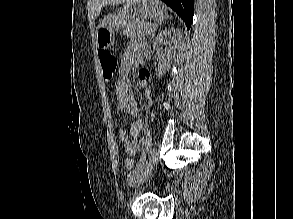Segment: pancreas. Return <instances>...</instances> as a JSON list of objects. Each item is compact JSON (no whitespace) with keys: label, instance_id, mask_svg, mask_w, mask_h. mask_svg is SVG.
Instances as JSON below:
<instances>
[{"label":"pancreas","instance_id":"obj_1","mask_svg":"<svg viewBox=\"0 0 293 219\" xmlns=\"http://www.w3.org/2000/svg\"><path fill=\"white\" fill-rule=\"evenodd\" d=\"M157 25L145 21H129L123 29V34L127 37H145L153 35Z\"/></svg>","mask_w":293,"mask_h":219}]
</instances>
